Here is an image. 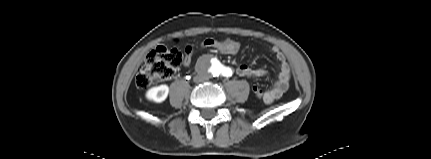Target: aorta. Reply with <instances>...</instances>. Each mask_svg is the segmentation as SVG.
Instances as JSON below:
<instances>
[{"mask_svg":"<svg viewBox=\"0 0 431 159\" xmlns=\"http://www.w3.org/2000/svg\"><path fill=\"white\" fill-rule=\"evenodd\" d=\"M223 69V66L219 63L214 65L212 64L207 67V72L214 77H218L222 74Z\"/></svg>","mask_w":431,"mask_h":159,"instance_id":"obj_1","label":"aorta"}]
</instances>
